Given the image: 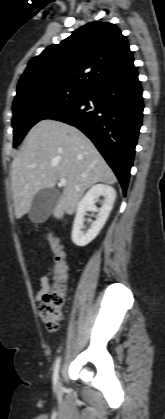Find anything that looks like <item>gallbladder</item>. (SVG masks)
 <instances>
[{
	"label": "gallbladder",
	"instance_id": "obj_1",
	"mask_svg": "<svg viewBox=\"0 0 165 419\" xmlns=\"http://www.w3.org/2000/svg\"><path fill=\"white\" fill-rule=\"evenodd\" d=\"M60 195V192L54 188L40 190L32 199L29 219L34 223L45 222L57 205Z\"/></svg>",
	"mask_w": 165,
	"mask_h": 419
}]
</instances>
